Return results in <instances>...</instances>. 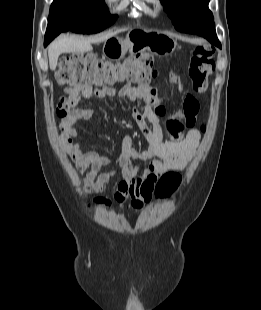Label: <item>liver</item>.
I'll use <instances>...</instances> for the list:
<instances>
[{
  "label": "liver",
  "mask_w": 261,
  "mask_h": 310,
  "mask_svg": "<svg viewBox=\"0 0 261 310\" xmlns=\"http://www.w3.org/2000/svg\"><path fill=\"white\" fill-rule=\"evenodd\" d=\"M118 32L107 33L94 38L63 36L55 40L48 48L49 66L52 71L56 69L57 61L62 53H85L93 50L92 43L106 41Z\"/></svg>",
  "instance_id": "liver-1"
}]
</instances>
